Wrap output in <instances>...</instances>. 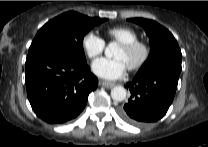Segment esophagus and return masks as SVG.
Listing matches in <instances>:
<instances>
[{
	"mask_svg": "<svg viewBox=\"0 0 208 147\" xmlns=\"http://www.w3.org/2000/svg\"><path fill=\"white\" fill-rule=\"evenodd\" d=\"M100 84L106 88H113L116 84L113 82H108V81H100Z\"/></svg>",
	"mask_w": 208,
	"mask_h": 147,
	"instance_id": "esophagus-1",
	"label": "esophagus"
}]
</instances>
